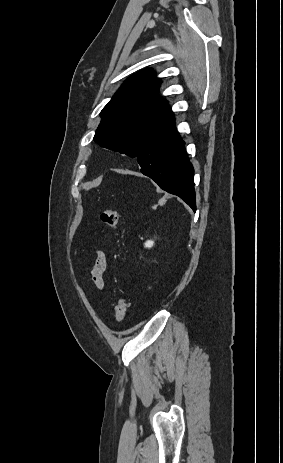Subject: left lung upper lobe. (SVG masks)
I'll list each match as a JSON object with an SVG mask.
<instances>
[{
    "label": "left lung upper lobe",
    "mask_w": 283,
    "mask_h": 463,
    "mask_svg": "<svg viewBox=\"0 0 283 463\" xmlns=\"http://www.w3.org/2000/svg\"><path fill=\"white\" fill-rule=\"evenodd\" d=\"M161 81L151 69L134 74L101 111L94 141L104 148L132 158L174 120L165 99H158Z\"/></svg>",
    "instance_id": "left-lung-upper-lobe-1"
}]
</instances>
